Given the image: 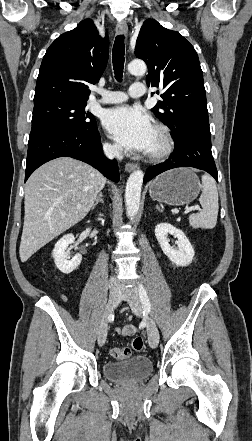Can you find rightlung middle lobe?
Listing matches in <instances>:
<instances>
[{
    "mask_svg": "<svg viewBox=\"0 0 252 441\" xmlns=\"http://www.w3.org/2000/svg\"><path fill=\"white\" fill-rule=\"evenodd\" d=\"M86 101L49 100L34 104L32 130L87 129L95 124V117L85 112Z\"/></svg>",
    "mask_w": 252,
    "mask_h": 441,
    "instance_id": "right-lung-middle-lobe-1",
    "label": "right lung middle lobe"
}]
</instances>
